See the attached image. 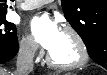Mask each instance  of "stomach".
Masks as SVG:
<instances>
[{"instance_id":"obj_1","label":"stomach","mask_w":107,"mask_h":75,"mask_svg":"<svg viewBox=\"0 0 107 75\" xmlns=\"http://www.w3.org/2000/svg\"><path fill=\"white\" fill-rule=\"evenodd\" d=\"M65 75H73V74H65Z\"/></svg>"}]
</instances>
